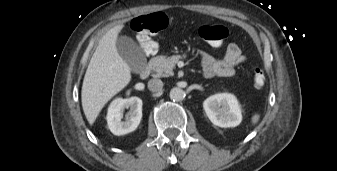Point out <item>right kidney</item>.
<instances>
[{"instance_id":"1","label":"right kidney","mask_w":337,"mask_h":171,"mask_svg":"<svg viewBox=\"0 0 337 171\" xmlns=\"http://www.w3.org/2000/svg\"><path fill=\"white\" fill-rule=\"evenodd\" d=\"M130 109L122 121L125 109ZM142 118V100L138 97L117 98L108 108L107 124L110 131L117 136L134 131Z\"/></svg>"}]
</instances>
